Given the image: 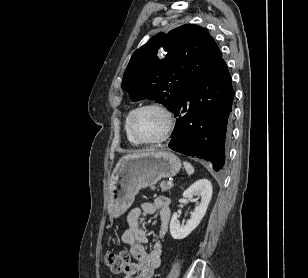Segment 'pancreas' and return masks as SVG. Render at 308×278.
<instances>
[{"mask_svg": "<svg viewBox=\"0 0 308 278\" xmlns=\"http://www.w3.org/2000/svg\"><path fill=\"white\" fill-rule=\"evenodd\" d=\"M172 187H173L172 185L171 186L167 185L165 181H162L160 183V188L162 192L169 191Z\"/></svg>", "mask_w": 308, "mask_h": 278, "instance_id": "obj_1", "label": "pancreas"}]
</instances>
